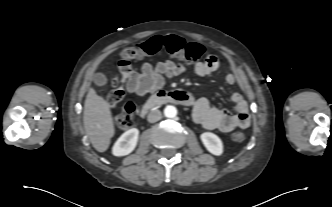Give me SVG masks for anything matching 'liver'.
<instances>
[{"mask_svg": "<svg viewBox=\"0 0 332 207\" xmlns=\"http://www.w3.org/2000/svg\"><path fill=\"white\" fill-rule=\"evenodd\" d=\"M83 123L92 146L98 152H105L115 133L114 122L110 104L93 88H89L85 99Z\"/></svg>", "mask_w": 332, "mask_h": 207, "instance_id": "obj_1", "label": "liver"}]
</instances>
